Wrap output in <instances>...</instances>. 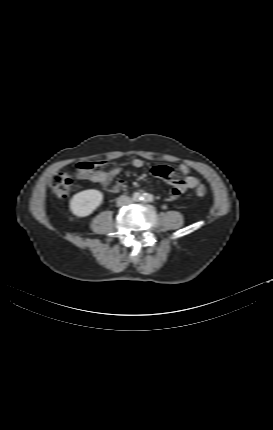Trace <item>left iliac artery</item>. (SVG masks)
Segmentation results:
<instances>
[{"instance_id": "1", "label": "left iliac artery", "mask_w": 273, "mask_h": 430, "mask_svg": "<svg viewBox=\"0 0 273 430\" xmlns=\"http://www.w3.org/2000/svg\"><path fill=\"white\" fill-rule=\"evenodd\" d=\"M141 201L143 202H153L154 201V197L152 194L149 193H144L142 196Z\"/></svg>"}]
</instances>
